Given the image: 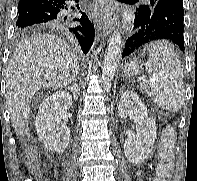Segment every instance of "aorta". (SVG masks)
Returning <instances> with one entry per match:
<instances>
[{
    "instance_id": "obj_1",
    "label": "aorta",
    "mask_w": 197,
    "mask_h": 181,
    "mask_svg": "<svg viewBox=\"0 0 197 181\" xmlns=\"http://www.w3.org/2000/svg\"><path fill=\"white\" fill-rule=\"evenodd\" d=\"M122 54V40L119 32L114 31L107 48L102 65V87L109 93L115 72Z\"/></svg>"
}]
</instances>
